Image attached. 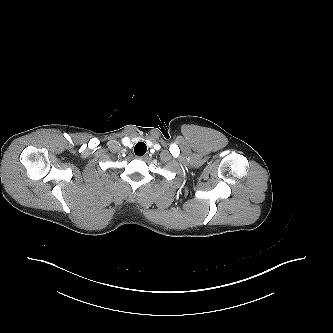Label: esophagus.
<instances>
[{
  "label": "esophagus",
  "instance_id": "1",
  "mask_svg": "<svg viewBox=\"0 0 333 333\" xmlns=\"http://www.w3.org/2000/svg\"><path fill=\"white\" fill-rule=\"evenodd\" d=\"M137 158L141 159V160H145L147 158V156L146 155H144V156H137Z\"/></svg>",
  "mask_w": 333,
  "mask_h": 333
}]
</instances>
